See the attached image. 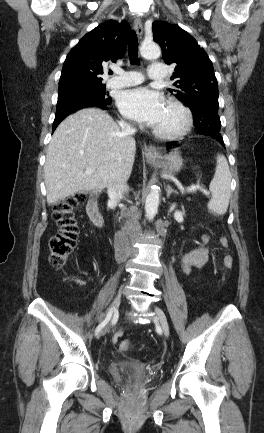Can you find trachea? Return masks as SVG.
<instances>
[{"label":"trachea","instance_id":"trachea-1","mask_svg":"<svg viewBox=\"0 0 264 433\" xmlns=\"http://www.w3.org/2000/svg\"><path fill=\"white\" fill-rule=\"evenodd\" d=\"M129 59L132 64H139L138 60V38L134 31L130 32L128 39Z\"/></svg>","mask_w":264,"mask_h":433}]
</instances>
